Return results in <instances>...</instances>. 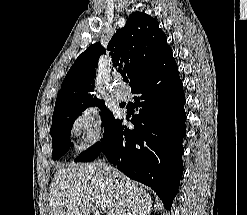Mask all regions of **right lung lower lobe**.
<instances>
[{
    "mask_svg": "<svg viewBox=\"0 0 247 215\" xmlns=\"http://www.w3.org/2000/svg\"><path fill=\"white\" fill-rule=\"evenodd\" d=\"M139 114L130 130L115 119L101 143L91 146L75 162H89L102 152L129 178L151 187L171 209L182 177L186 134L185 96L171 49L131 88Z\"/></svg>",
    "mask_w": 247,
    "mask_h": 215,
    "instance_id": "right-lung-lower-lobe-1",
    "label": "right lung lower lobe"
}]
</instances>
